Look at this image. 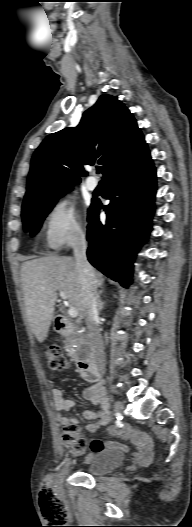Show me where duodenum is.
I'll use <instances>...</instances> for the list:
<instances>
[{
    "mask_svg": "<svg viewBox=\"0 0 192 527\" xmlns=\"http://www.w3.org/2000/svg\"><path fill=\"white\" fill-rule=\"evenodd\" d=\"M56 327L63 336H70L74 332V326L62 316L56 318ZM78 368L81 376L89 382H100L98 366L94 358H81L78 360Z\"/></svg>",
    "mask_w": 192,
    "mask_h": 527,
    "instance_id": "duodenum-1",
    "label": "duodenum"
}]
</instances>
